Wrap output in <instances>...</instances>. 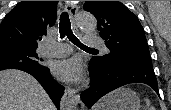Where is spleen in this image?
I'll list each match as a JSON object with an SVG mask.
<instances>
[{
  "instance_id": "3e777b00",
  "label": "spleen",
  "mask_w": 171,
  "mask_h": 110,
  "mask_svg": "<svg viewBox=\"0 0 171 110\" xmlns=\"http://www.w3.org/2000/svg\"><path fill=\"white\" fill-rule=\"evenodd\" d=\"M145 102H146V109H148V110H155L154 107L151 106L149 99L146 98Z\"/></svg>"
}]
</instances>
